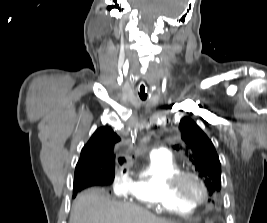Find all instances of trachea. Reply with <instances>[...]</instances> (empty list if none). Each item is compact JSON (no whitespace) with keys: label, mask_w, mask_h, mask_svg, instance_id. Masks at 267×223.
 <instances>
[{"label":"trachea","mask_w":267,"mask_h":223,"mask_svg":"<svg viewBox=\"0 0 267 223\" xmlns=\"http://www.w3.org/2000/svg\"><path fill=\"white\" fill-rule=\"evenodd\" d=\"M146 87L147 84L143 80H141L138 84V95L142 101H145L147 99Z\"/></svg>","instance_id":"trachea-1"}]
</instances>
